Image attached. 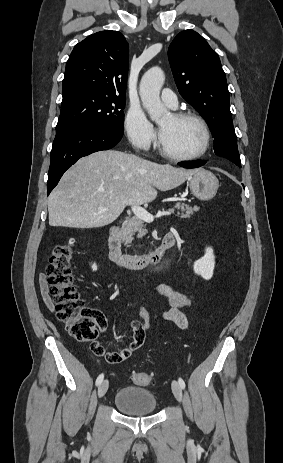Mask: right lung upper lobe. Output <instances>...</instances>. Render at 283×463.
Instances as JSON below:
<instances>
[{
    "mask_svg": "<svg viewBox=\"0 0 283 463\" xmlns=\"http://www.w3.org/2000/svg\"><path fill=\"white\" fill-rule=\"evenodd\" d=\"M128 43L118 31H101L75 45L66 63L62 103L82 94L125 97Z\"/></svg>",
    "mask_w": 283,
    "mask_h": 463,
    "instance_id": "cb5924a9",
    "label": "right lung upper lobe"
}]
</instances>
